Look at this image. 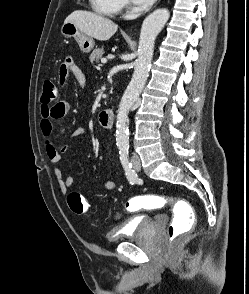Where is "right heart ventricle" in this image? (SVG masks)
<instances>
[{"mask_svg": "<svg viewBox=\"0 0 249 294\" xmlns=\"http://www.w3.org/2000/svg\"><path fill=\"white\" fill-rule=\"evenodd\" d=\"M93 9L105 16H115L119 13V1L118 0H90Z\"/></svg>", "mask_w": 249, "mask_h": 294, "instance_id": "e07e8e85", "label": "right heart ventricle"}]
</instances>
